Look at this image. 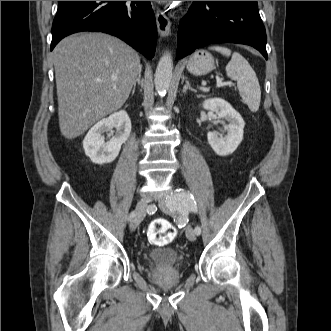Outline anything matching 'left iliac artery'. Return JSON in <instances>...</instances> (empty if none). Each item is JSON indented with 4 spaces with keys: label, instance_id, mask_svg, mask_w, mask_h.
I'll return each instance as SVG.
<instances>
[{
    "label": "left iliac artery",
    "instance_id": "left-iliac-artery-1",
    "mask_svg": "<svg viewBox=\"0 0 331 331\" xmlns=\"http://www.w3.org/2000/svg\"><path fill=\"white\" fill-rule=\"evenodd\" d=\"M167 206L171 211L181 212L183 215L189 212H197L196 202L194 201L193 195L184 189H177L175 194L167 200ZM195 233L199 235L201 228L197 226Z\"/></svg>",
    "mask_w": 331,
    "mask_h": 331
}]
</instances>
